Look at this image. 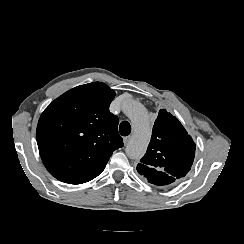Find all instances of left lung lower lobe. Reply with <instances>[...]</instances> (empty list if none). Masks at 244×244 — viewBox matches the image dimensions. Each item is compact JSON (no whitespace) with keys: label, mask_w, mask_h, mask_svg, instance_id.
Returning <instances> with one entry per match:
<instances>
[{"label":"left lung lower lobe","mask_w":244,"mask_h":244,"mask_svg":"<svg viewBox=\"0 0 244 244\" xmlns=\"http://www.w3.org/2000/svg\"><path fill=\"white\" fill-rule=\"evenodd\" d=\"M172 180H173L172 183H173L174 181H176V179H174V178H173ZM160 186H161V185H160Z\"/></svg>","instance_id":"obj_1"}]
</instances>
